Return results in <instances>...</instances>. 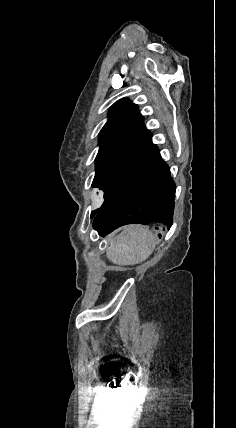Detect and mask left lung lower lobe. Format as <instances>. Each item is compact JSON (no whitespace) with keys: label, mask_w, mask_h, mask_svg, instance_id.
<instances>
[{"label":"left lung lower lobe","mask_w":236,"mask_h":428,"mask_svg":"<svg viewBox=\"0 0 236 428\" xmlns=\"http://www.w3.org/2000/svg\"><path fill=\"white\" fill-rule=\"evenodd\" d=\"M175 183L158 147L147 139L134 162L93 211V227L101 236L126 224L172 226Z\"/></svg>","instance_id":"1"}]
</instances>
